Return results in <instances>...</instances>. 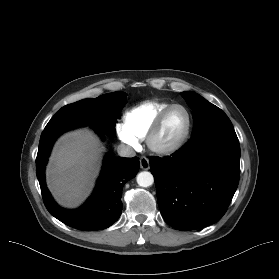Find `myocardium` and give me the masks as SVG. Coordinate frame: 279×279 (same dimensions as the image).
I'll return each mask as SVG.
<instances>
[{"instance_id":"obj_1","label":"myocardium","mask_w":279,"mask_h":279,"mask_svg":"<svg viewBox=\"0 0 279 279\" xmlns=\"http://www.w3.org/2000/svg\"><path fill=\"white\" fill-rule=\"evenodd\" d=\"M174 109H182L187 117V125L185 128L184 133L181 135V137L174 143L170 145L161 146L156 143V137L166 119L168 114L173 111ZM193 126V119L192 115L187 107L181 104H172L165 108L155 119L152 126L150 127L147 136H146V143L149 149L157 154L160 155H168L172 154L176 151H178L180 148H182L186 142L188 141Z\"/></svg>"}]
</instances>
